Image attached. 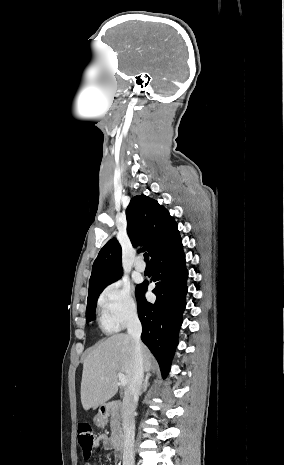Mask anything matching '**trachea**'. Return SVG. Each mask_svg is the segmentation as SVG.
Instances as JSON below:
<instances>
[{
	"label": "trachea",
	"instance_id": "1",
	"mask_svg": "<svg viewBox=\"0 0 284 465\" xmlns=\"http://www.w3.org/2000/svg\"><path fill=\"white\" fill-rule=\"evenodd\" d=\"M144 260H145L146 264L149 265V256H148V253H144Z\"/></svg>",
	"mask_w": 284,
	"mask_h": 465
}]
</instances>
